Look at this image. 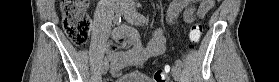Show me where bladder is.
Segmentation results:
<instances>
[{"label": "bladder", "instance_id": "31cf9c89", "mask_svg": "<svg viewBox=\"0 0 279 82\" xmlns=\"http://www.w3.org/2000/svg\"><path fill=\"white\" fill-rule=\"evenodd\" d=\"M115 82H153L150 78L144 74L139 72H131L124 74L117 78Z\"/></svg>", "mask_w": 279, "mask_h": 82}]
</instances>
